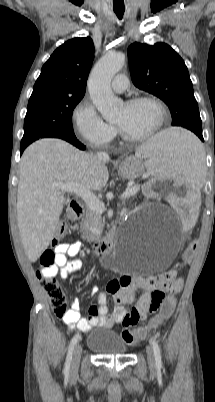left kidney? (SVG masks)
Returning <instances> with one entry per match:
<instances>
[{
  "mask_svg": "<svg viewBox=\"0 0 215 402\" xmlns=\"http://www.w3.org/2000/svg\"><path fill=\"white\" fill-rule=\"evenodd\" d=\"M146 193H160L162 200H172L179 212H183L182 220L188 232L193 231L191 222L199 221V193L195 184L186 182L185 178L176 175H153L145 185Z\"/></svg>",
  "mask_w": 215,
  "mask_h": 402,
  "instance_id": "left-kidney-1",
  "label": "left kidney"
}]
</instances>
